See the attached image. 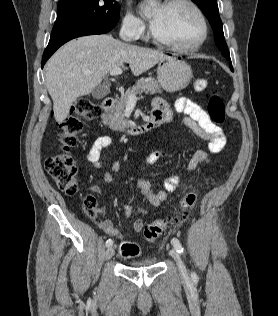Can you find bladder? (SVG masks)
I'll return each mask as SVG.
<instances>
[{
  "instance_id": "1",
  "label": "bladder",
  "mask_w": 278,
  "mask_h": 316,
  "mask_svg": "<svg viewBox=\"0 0 278 316\" xmlns=\"http://www.w3.org/2000/svg\"><path fill=\"white\" fill-rule=\"evenodd\" d=\"M157 264V260L155 258H147L141 260H135L128 264V266L132 268H149L153 267Z\"/></svg>"
}]
</instances>
